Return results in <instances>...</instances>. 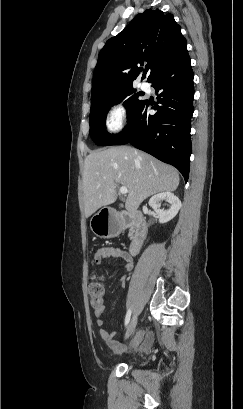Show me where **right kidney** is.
<instances>
[{
	"label": "right kidney",
	"instance_id": "1",
	"mask_svg": "<svg viewBox=\"0 0 243 409\" xmlns=\"http://www.w3.org/2000/svg\"><path fill=\"white\" fill-rule=\"evenodd\" d=\"M166 201L170 204L168 210L160 209L159 204ZM149 206L155 211L159 218V223H167L172 220L181 208V201L171 192H162L152 196L149 200Z\"/></svg>",
	"mask_w": 243,
	"mask_h": 409
}]
</instances>
